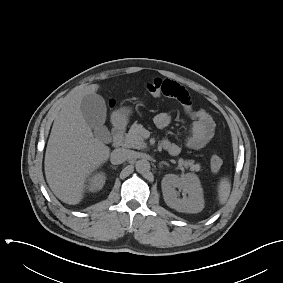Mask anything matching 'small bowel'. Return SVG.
Masks as SVG:
<instances>
[{"label":"small bowel","mask_w":283,"mask_h":283,"mask_svg":"<svg viewBox=\"0 0 283 283\" xmlns=\"http://www.w3.org/2000/svg\"><path fill=\"white\" fill-rule=\"evenodd\" d=\"M162 95L179 101L192 119V124L185 138V146L193 150L205 147L212 139L215 131V122L212 116L204 109L194 110L188 91L175 81L162 80ZM154 123L159 129H164L171 123V117L165 112H160L154 117ZM162 147L174 156L182 150L179 144L168 139L162 141Z\"/></svg>","instance_id":"c3829d8e"}]
</instances>
